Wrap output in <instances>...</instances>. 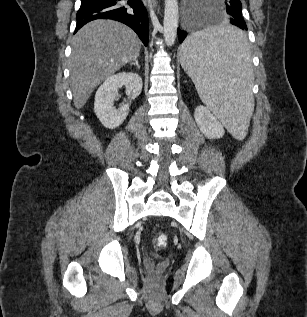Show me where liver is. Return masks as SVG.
Wrapping results in <instances>:
<instances>
[{
	"instance_id": "obj_1",
	"label": "liver",
	"mask_w": 307,
	"mask_h": 317,
	"mask_svg": "<svg viewBox=\"0 0 307 317\" xmlns=\"http://www.w3.org/2000/svg\"><path fill=\"white\" fill-rule=\"evenodd\" d=\"M141 41L126 25L95 20L73 37L69 60L74 106L82 108L93 90L139 55Z\"/></svg>"
}]
</instances>
